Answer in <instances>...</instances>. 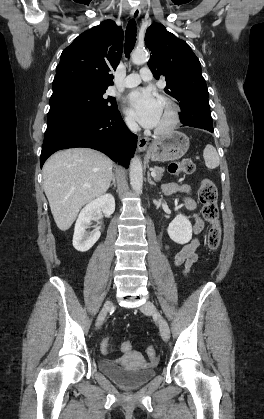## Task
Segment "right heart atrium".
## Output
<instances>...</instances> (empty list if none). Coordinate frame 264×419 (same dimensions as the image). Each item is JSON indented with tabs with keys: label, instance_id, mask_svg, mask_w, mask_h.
<instances>
[{
	"label": "right heart atrium",
	"instance_id": "1",
	"mask_svg": "<svg viewBox=\"0 0 264 419\" xmlns=\"http://www.w3.org/2000/svg\"><path fill=\"white\" fill-rule=\"evenodd\" d=\"M124 121H125L126 126L129 129L135 130L137 128L136 122L134 121V119L131 116L126 115L125 118H124Z\"/></svg>",
	"mask_w": 264,
	"mask_h": 419
}]
</instances>
